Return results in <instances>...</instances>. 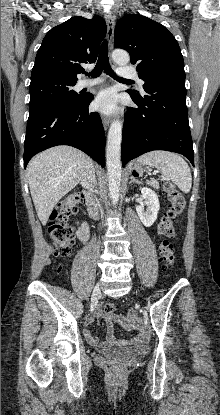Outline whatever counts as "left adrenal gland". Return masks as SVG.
I'll use <instances>...</instances> for the list:
<instances>
[{
    "mask_svg": "<svg viewBox=\"0 0 220 415\" xmlns=\"http://www.w3.org/2000/svg\"><path fill=\"white\" fill-rule=\"evenodd\" d=\"M132 182L139 183V181L136 180L133 176H130V182L129 183H132Z\"/></svg>",
    "mask_w": 220,
    "mask_h": 415,
    "instance_id": "1",
    "label": "left adrenal gland"
}]
</instances>
